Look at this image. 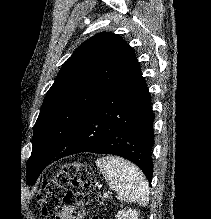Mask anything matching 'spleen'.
Instances as JSON below:
<instances>
[{"mask_svg": "<svg viewBox=\"0 0 211 219\" xmlns=\"http://www.w3.org/2000/svg\"><path fill=\"white\" fill-rule=\"evenodd\" d=\"M111 190L117 192V199L135 202L145 206L149 201L148 182L134 164L118 157L106 156L96 160Z\"/></svg>", "mask_w": 211, "mask_h": 219, "instance_id": "3e777b00", "label": "spleen"}]
</instances>
